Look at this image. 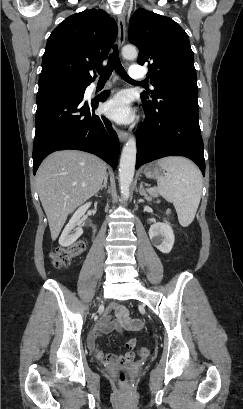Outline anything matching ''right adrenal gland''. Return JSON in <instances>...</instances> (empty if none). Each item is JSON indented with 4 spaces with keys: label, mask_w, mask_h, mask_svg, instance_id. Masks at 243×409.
Masks as SVG:
<instances>
[{
    "label": "right adrenal gland",
    "mask_w": 243,
    "mask_h": 409,
    "mask_svg": "<svg viewBox=\"0 0 243 409\" xmlns=\"http://www.w3.org/2000/svg\"><path fill=\"white\" fill-rule=\"evenodd\" d=\"M107 181H108V173H106L105 177H104V183L103 185L100 187V190H103L104 188H107Z\"/></svg>",
    "instance_id": "1"
}]
</instances>
